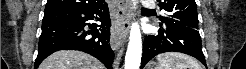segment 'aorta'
I'll list each match as a JSON object with an SVG mask.
<instances>
[{
  "mask_svg": "<svg viewBox=\"0 0 246 69\" xmlns=\"http://www.w3.org/2000/svg\"><path fill=\"white\" fill-rule=\"evenodd\" d=\"M135 5V3H134ZM142 56V38L137 23L131 26L128 48L125 56V69H139Z\"/></svg>",
  "mask_w": 246,
  "mask_h": 69,
  "instance_id": "762f6f07",
  "label": "aorta"
}]
</instances>
